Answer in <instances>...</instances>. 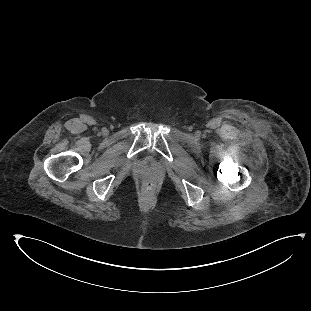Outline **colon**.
I'll use <instances>...</instances> for the list:
<instances>
[{
	"instance_id": "colon-1",
	"label": "colon",
	"mask_w": 311,
	"mask_h": 311,
	"mask_svg": "<svg viewBox=\"0 0 311 311\" xmlns=\"http://www.w3.org/2000/svg\"><path fill=\"white\" fill-rule=\"evenodd\" d=\"M142 188H143L144 192L151 194V193L155 192L157 185H156L155 181L148 179V180L144 181Z\"/></svg>"
}]
</instances>
